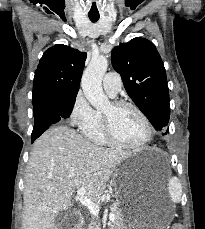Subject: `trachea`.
<instances>
[{
    "mask_svg": "<svg viewBox=\"0 0 205 229\" xmlns=\"http://www.w3.org/2000/svg\"><path fill=\"white\" fill-rule=\"evenodd\" d=\"M88 16L92 22H97L99 20V15H88Z\"/></svg>",
    "mask_w": 205,
    "mask_h": 229,
    "instance_id": "3493384b",
    "label": "trachea"
}]
</instances>
